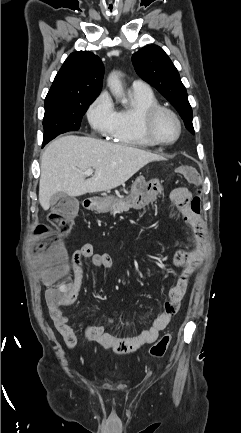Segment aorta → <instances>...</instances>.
<instances>
[{"mask_svg": "<svg viewBox=\"0 0 241 433\" xmlns=\"http://www.w3.org/2000/svg\"><path fill=\"white\" fill-rule=\"evenodd\" d=\"M108 86L110 91L115 97H123L122 83L116 73H112L108 78ZM122 102L125 103L126 99L122 98Z\"/></svg>", "mask_w": 241, "mask_h": 433, "instance_id": "aorta-1", "label": "aorta"}]
</instances>
